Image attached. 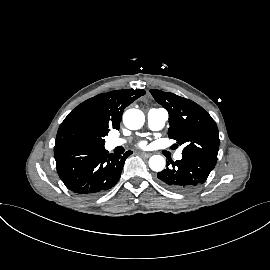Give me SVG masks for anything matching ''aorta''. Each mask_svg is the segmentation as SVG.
Instances as JSON below:
<instances>
[{
    "label": "aorta",
    "instance_id": "obj_1",
    "mask_svg": "<svg viewBox=\"0 0 270 270\" xmlns=\"http://www.w3.org/2000/svg\"><path fill=\"white\" fill-rule=\"evenodd\" d=\"M145 121L143 112L139 109H128L123 114L124 125L131 130L140 129ZM166 161L160 155H153L149 159V167L151 170L160 172L165 168Z\"/></svg>",
    "mask_w": 270,
    "mask_h": 270
}]
</instances>
